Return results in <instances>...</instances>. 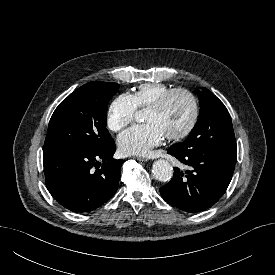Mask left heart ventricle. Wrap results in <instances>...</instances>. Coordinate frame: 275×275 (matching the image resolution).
I'll list each match as a JSON object with an SVG mask.
<instances>
[{"mask_svg":"<svg viewBox=\"0 0 275 275\" xmlns=\"http://www.w3.org/2000/svg\"><path fill=\"white\" fill-rule=\"evenodd\" d=\"M191 115L192 105L189 98L179 93L172 96L162 110L148 109L145 121L157 125L166 136L182 131L188 125Z\"/></svg>","mask_w":275,"mask_h":275,"instance_id":"1","label":"left heart ventricle"}]
</instances>
